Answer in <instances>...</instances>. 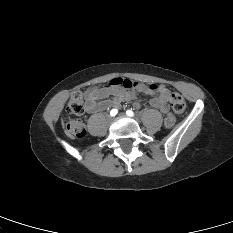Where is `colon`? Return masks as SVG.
<instances>
[{"label":"colon","mask_w":233,"mask_h":233,"mask_svg":"<svg viewBox=\"0 0 233 233\" xmlns=\"http://www.w3.org/2000/svg\"><path fill=\"white\" fill-rule=\"evenodd\" d=\"M114 80H111L110 83H113ZM122 83L123 86L127 88H140L139 84L137 82L131 81L129 79H121L119 81ZM149 89L151 91H154L155 88L150 86ZM169 108L172 110V112L178 116H181L186 109V103L183 97L178 93H173L170 95L169 102H168ZM85 111V104L83 102V99L79 92H76L72 95L70 101L68 102V105L66 107V113L69 115H81ZM175 122V117L172 113H169L164 120L166 127L173 126ZM66 132L69 136L75 137V138H83L86 136L87 131L85 124L82 120H70L66 123Z\"/></svg>","instance_id":"obj_1"}]
</instances>
